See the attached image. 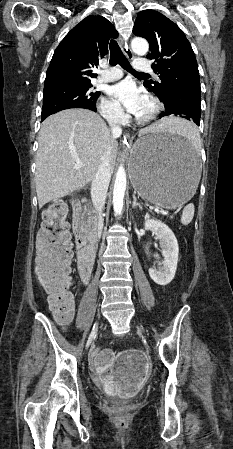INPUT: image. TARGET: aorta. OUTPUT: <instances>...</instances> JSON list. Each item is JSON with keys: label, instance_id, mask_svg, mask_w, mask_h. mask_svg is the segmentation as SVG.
<instances>
[{"label": "aorta", "instance_id": "1", "mask_svg": "<svg viewBox=\"0 0 233 449\" xmlns=\"http://www.w3.org/2000/svg\"><path fill=\"white\" fill-rule=\"evenodd\" d=\"M131 48L135 54L144 56L149 50V45L145 39L134 38L131 41ZM126 184V172L123 165H120L116 173L113 189V208L116 216H120L122 214Z\"/></svg>", "mask_w": 233, "mask_h": 449}]
</instances>
